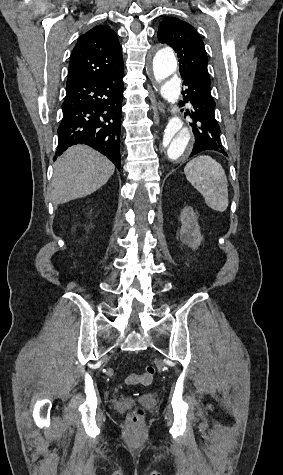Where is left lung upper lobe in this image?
<instances>
[{"mask_svg": "<svg viewBox=\"0 0 283 475\" xmlns=\"http://www.w3.org/2000/svg\"><path fill=\"white\" fill-rule=\"evenodd\" d=\"M157 36L160 42L167 43L177 53L180 73L192 72L209 78L203 41L189 23L167 18L160 23Z\"/></svg>", "mask_w": 283, "mask_h": 475, "instance_id": "left-lung-upper-lobe-1", "label": "left lung upper lobe"}]
</instances>
